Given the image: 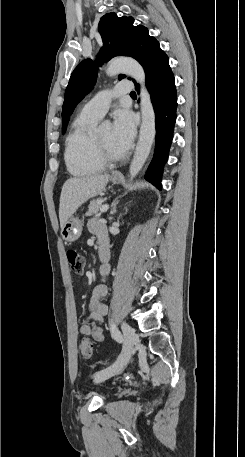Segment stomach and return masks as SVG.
Listing matches in <instances>:
<instances>
[{"instance_id": "obj_1", "label": "stomach", "mask_w": 245, "mask_h": 457, "mask_svg": "<svg viewBox=\"0 0 245 457\" xmlns=\"http://www.w3.org/2000/svg\"><path fill=\"white\" fill-rule=\"evenodd\" d=\"M121 180L122 178H120V180H113L112 178V182H114V184H119ZM81 233L82 222L80 218H76V216H70V218L64 222L63 226H61L62 239H64L66 243H74V241L79 239Z\"/></svg>"}]
</instances>
